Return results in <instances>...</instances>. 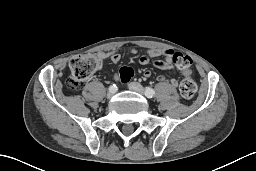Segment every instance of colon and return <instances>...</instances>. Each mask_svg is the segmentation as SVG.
<instances>
[{"label":"colon","mask_w":256,"mask_h":171,"mask_svg":"<svg viewBox=\"0 0 256 171\" xmlns=\"http://www.w3.org/2000/svg\"><path fill=\"white\" fill-rule=\"evenodd\" d=\"M176 66L185 73V77L179 84V91L181 96L186 100H192L197 92V85L191 77L192 59L183 54L175 56ZM102 60L97 55H79L71 59L70 70L71 76L67 81L69 88L77 90L81 88L90 75L100 69ZM135 75V70L132 67L125 66L119 70L118 77L121 82L127 83Z\"/></svg>","instance_id":"5ec220e1"}]
</instances>
